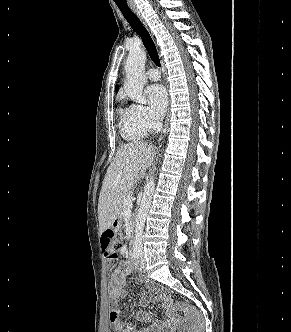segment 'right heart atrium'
<instances>
[{"mask_svg": "<svg viewBox=\"0 0 291 332\" xmlns=\"http://www.w3.org/2000/svg\"><path fill=\"white\" fill-rule=\"evenodd\" d=\"M130 113L132 124L145 134L157 126L150 117L148 109L141 104H132L130 106Z\"/></svg>", "mask_w": 291, "mask_h": 332, "instance_id": "1", "label": "right heart atrium"}]
</instances>
